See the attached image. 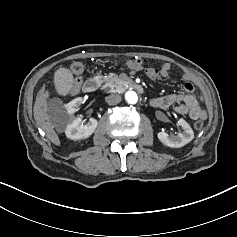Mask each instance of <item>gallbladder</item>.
Segmentation results:
<instances>
[{"label": "gallbladder", "mask_w": 237, "mask_h": 237, "mask_svg": "<svg viewBox=\"0 0 237 237\" xmlns=\"http://www.w3.org/2000/svg\"><path fill=\"white\" fill-rule=\"evenodd\" d=\"M54 76L56 79L54 85L57 92L63 95L69 93L74 80L70 70L64 67L59 68Z\"/></svg>", "instance_id": "obj_1"}]
</instances>
